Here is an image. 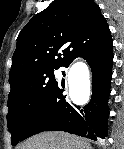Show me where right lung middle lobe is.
Masks as SVG:
<instances>
[{
    "label": "right lung middle lobe",
    "instance_id": "obj_1",
    "mask_svg": "<svg viewBox=\"0 0 124 149\" xmlns=\"http://www.w3.org/2000/svg\"><path fill=\"white\" fill-rule=\"evenodd\" d=\"M57 85L54 69H49L37 72L17 87L11 88L7 103V124L12 145L21 141L27 124Z\"/></svg>",
    "mask_w": 124,
    "mask_h": 149
}]
</instances>
